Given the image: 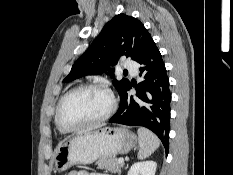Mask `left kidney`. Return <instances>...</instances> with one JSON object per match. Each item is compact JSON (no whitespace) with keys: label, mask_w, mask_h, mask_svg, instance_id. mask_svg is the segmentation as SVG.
Returning a JSON list of instances; mask_svg holds the SVG:
<instances>
[{"label":"left kidney","mask_w":233,"mask_h":175,"mask_svg":"<svg viewBox=\"0 0 233 175\" xmlns=\"http://www.w3.org/2000/svg\"><path fill=\"white\" fill-rule=\"evenodd\" d=\"M156 168L154 161L137 162L131 166L127 175H155Z\"/></svg>","instance_id":"5707ae66"}]
</instances>
